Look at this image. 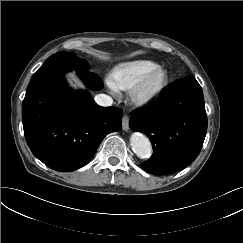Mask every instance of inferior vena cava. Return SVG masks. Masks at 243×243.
Segmentation results:
<instances>
[{
    "instance_id": "inferior-vena-cava-1",
    "label": "inferior vena cava",
    "mask_w": 243,
    "mask_h": 243,
    "mask_svg": "<svg viewBox=\"0 0 243 243\" xmlns=\"http://www.w3.org/2000/svg\"><path fill=\"white\" fill-rule=\"evenodd\" d=\"M94 99L98 105L104 106V107L111 106L113 103V99L110 96L105 95V94H98L95 96Z\"/></svg>"
}]
</instances>
